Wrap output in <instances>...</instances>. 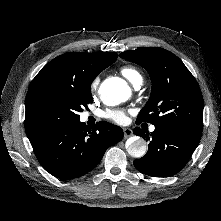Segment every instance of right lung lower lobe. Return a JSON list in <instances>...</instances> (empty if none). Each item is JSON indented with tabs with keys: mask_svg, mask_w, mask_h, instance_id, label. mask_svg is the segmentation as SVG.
<instances>
[{
	"mask_svg": "<svg viewBox=\"0 0 221 221\" xmlns=\"http://www.w3.org/2000/svg\"><path fill=\"white\" fill-rule=\"evenodd\" d=\"M25 130L41 166L63 180L78 178L94 169L107 148L124 136L120 127L105 121L92 128L76 121L27 125Z\"/></svg>",
	"mask_w": 221,
	"mask_h": 221,
	"instance_id": "1",
	"label": "right lung lower lobe"
}]
</instances>
